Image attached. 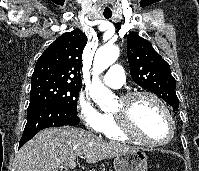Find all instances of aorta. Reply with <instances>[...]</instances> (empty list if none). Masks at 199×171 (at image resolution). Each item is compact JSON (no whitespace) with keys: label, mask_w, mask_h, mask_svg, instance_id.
Listing matches in <instances>:
<instances>
[{"label":"aorta","mask_w":199,"mask_h":171,"mask_svg":"<svg viewBox=\"0 0 199 171\" xmlns=\"http://www.w3.org/2000/svg\"><path fill=\"white\" fill-rule=\"evenodd\" d=\"M119 57V48L106 45L99 48L93 62V80L89 85L91 98L101 109L111 108L115 103L114 94L101 82L99 74L111 66Z\"/></svg>","instance_id":"1"}]
</instances>
